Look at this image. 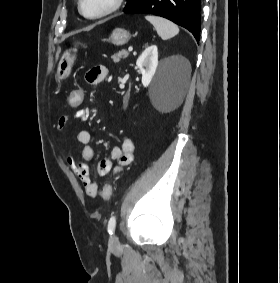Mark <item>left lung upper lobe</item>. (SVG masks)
Listing matches in <instances>:
<instances>
[{"mask_svg":"<svg viewBox=\"0 0 280 283\" xmlns=\"http://www.w3.org/2000/svg\"><path fill=\"white\" fill-rule=\"evenodd\" d=\"M137 0H127V4H126V7L125 9L129 8L131 5H133ZM124 9V10H125Z\"/></svg>","mask_w":280,"mask_h":283,"instance_id":"obj_1","label":"left lung upper lobe"}]
</instances>
